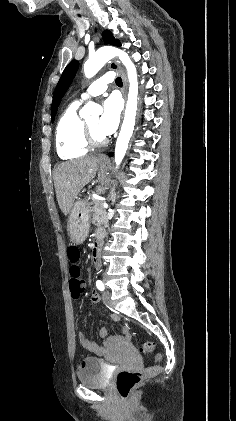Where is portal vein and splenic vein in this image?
<instances>
[{
  "label": "portal vein and splenic vein",
  "mask_w": 236,
  "mask_h": 421,
  "mask_svg": "<svg viewBox=\"0 0 236 421\" xmlns=\"http://www.w3.org/2000/svg\"><path fill=\"white\" fill-rule=\"evenodd\" d=\"M103 206H104L105 209L109 208V205L107 204V202H103Z\"/></svg>",
  "instance_id": "obj_1"
}]
</instances>
